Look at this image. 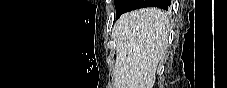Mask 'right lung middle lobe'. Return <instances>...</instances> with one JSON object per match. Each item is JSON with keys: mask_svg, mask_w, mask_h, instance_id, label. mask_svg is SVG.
<instances>
[{"mask_svg": "<svg viewBox=\"0 0 227 88\" xmlns=\"http://www.w3.org/2000/svg\"><path fill=\"white\" fill-rule=\"evenodd\" d=\"M131 0H114L115 7H116V15L118 16L126 7V5L130 2Z\"/></svg>", "mask_w": 227, "mask_h": 88, "instance_id": "1", "label": "right lung middle lobe"}]
</instances>
